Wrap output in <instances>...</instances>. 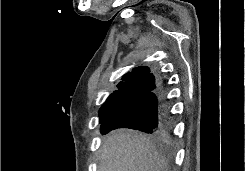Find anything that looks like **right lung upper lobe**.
I'll list each match as a JSON object with an SVG mask.
<instances>
[{
  "mask_svg": "<svg viewBox=\"0 0 245 171\" xmlns=\"http://www.w3.org/2000/svg\"><path fill=\"white\" fill-rule=\"evenodd\" d=\"M161 84L162 82L150 72L148 67L133 68L131 72L123 75L117 84L118 90L114 91L105 103L118 104L122 100L154 92L161 87Z\"/></svg>",
  "mask_w": 245,
  "mask_h": 171,
  "instance_id": "1",
  "label": "right lung upper lobe"
}]
</instances>
